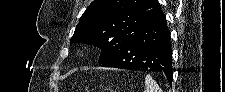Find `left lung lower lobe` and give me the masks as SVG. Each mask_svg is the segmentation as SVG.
<instances>
[{
    "mask_svg": "<svg viewBox=\"0 0 225 92\" xmlns=\"http://www.w3.org/2000/svg\"><path fill=\"white\" fill-rule=\"evenodd\" d=\"M102 67L131 70L163 71L172 83V50L170 31L162 11L148 20L131 39Z\"/></svg>",
    "mask_w": 225,
    "mask_h": 92,
    "instance_id": "obj_1",
    "label": "left lung lower lobe"
}]
</instances>
